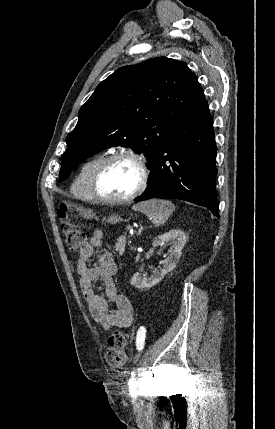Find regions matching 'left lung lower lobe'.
<instances>
[{
  "instance_id": "left-lung-lower-lobe-1",
  "label": "left lung lower lobe",
  "mask_w": 275,
  "mask_h": 429,
  "mask_svg": "<svg viewBox=\"0 0 275 429\" xmlns=\"http://www.w3.org/2000/svg\"><path fill=\"white\" fill-rule=\"evenodd\" d=\"M216 154L213 119L198 83L187 109L148 166V186L135 202L180 199L205 206L219 218Z\"/></svg>"
}]
</instances>
